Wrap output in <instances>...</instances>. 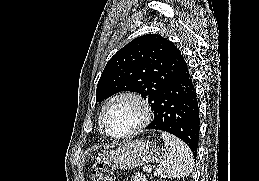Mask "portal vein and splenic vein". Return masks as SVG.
Segmentation results:
<instances>
[{
	"label": "portal vein and splenic vein",
	"mask_w": 259,
	"mask_h": 181,
	"mask_svg": "<svg viewBox=\"0 0 259 181\" xmlns=\"http://www.w3.org/2000/svg\"><path fill=\"white\" fill-rule=\"evenodd\" d=\"M148 171H149L148 167L144 166L143 167V172H148Z\"/></svg>",
	"instance_id": "portal-vein-and-splenic-vein-1"
}]
</instances>
